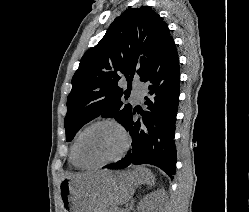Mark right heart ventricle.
Instances as JSON below:
<instances>
[{
    "instance_id": "e07e8e85",
    "label": "right heart ventricle",
    "mask_w": 249,
    "mask_h": 212,
    "mask_svg": "<svg viewBox=\"0 0 249 212\" xmlns=\"http://www.w3.org/2000/svg\"><path fill=\"white\" fill-rule=\"evenodd\" d=\"M69 163L70 165L75 168V169H79L80 167L76 164L74 157H73V144L70 147V152H69Z\"/></svg>"
}]
</instances>
